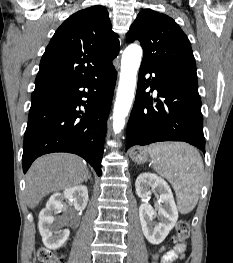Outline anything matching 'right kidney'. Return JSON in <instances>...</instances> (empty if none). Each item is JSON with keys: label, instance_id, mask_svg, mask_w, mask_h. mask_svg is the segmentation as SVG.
<instances>
[{"label": "right kidney", "instance_id": "1", "mask_svg": "<svg viewBox=\"0 0 233 263\" xmlns=\"http://www.w3.org/2000/svg\"><path fill=\"white\" fill-rule=\"evenodd\" d=\"M64 200L72 204L77 211H82L88 203V189L79 185L67 188L64 192L54 193L47 201L46 207L39 214V232L44 245L51 250H56L67 241L69 229L59 230L65 222L62 218H57L66 206Z\"/></svg>", "mask_w": 233, "mask_h": 263}]
</instances>
